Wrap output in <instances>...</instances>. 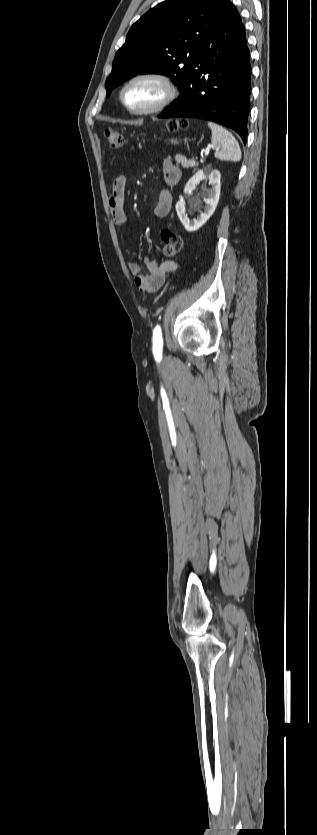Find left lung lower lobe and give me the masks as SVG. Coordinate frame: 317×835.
<instances>
[{
    "mask_svg": "<svg viewBox=\"0 0 317 835\" xmlns=\"http://www.w3.org/2000/svg\"><path fill=\"white\" fill-rule=\"evenodd\" d=\"M245 29L231 3L200 49L181 95L159 118L196 117L247 139L251 65Z\"/></svg>",
    "mask_w": 317,
    "mask_h": 835,
    "instance_id": "1",
    "label": "left lung lower lobe"
}]
</instances>
